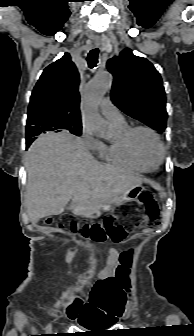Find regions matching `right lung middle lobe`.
I'll return each mask as SVG.
<instances>
[{
	"instance_id": "obj_1",
	"label": "right lung middle lobe",
	"mask_w": 194,
	"mask_h": 336,
	"mask_svg": "<svg viewBox=\"0 0 194 336\" xmlns=\"http://www.w3.org/2000/svg\"><path fill=\"white\" fill-rule=\"evenodd\" d=\"M40 130L41 128L39 127H26V136L29 134V133H32L36 130ZM81 127H67L66 130H68L69 132H71L72 134L74 135H81Z\"/></svg>"
}]
</instances>
